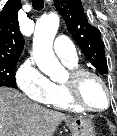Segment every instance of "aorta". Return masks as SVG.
<instances>
[{
	"label": "aorta",
	"mask_w": 117,
	"mask_h": 136,
	"mask_svg": "<svg viewBox=\"0 0 117 136\" xmlns=\"http://www.w3.org/2000/svg\"><path fill=\"white\" fill-rule=\"evenodd\" d=\"M55 13L42 16L36 23L33 38V55L37 66L51 79H58L65 72L53 51V41L59 27Z\"/></svg>",
	"instance_id": "762f6f07"
}]
</instances>
